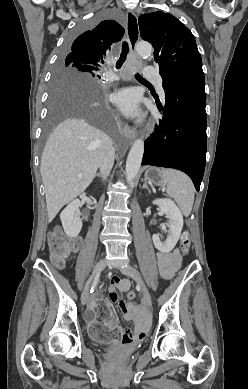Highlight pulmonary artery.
I'll list each match as a JSON object with an SVG mask.
<instances>
[{
    "label": "pulmonary artery",
    "mask_w": 248,
    "mask_h": 389,
    "mask_svg": "<svg viewBox=\"0 0 248 389\" xmlns=\"http://www.w3.org/2000/svg\"><path fill=\"white\" fill-rule=\"evenodd\" d=\"M145 77L148 80L153 81L154 83L157 84L159 93H160L161 97L164 98L165 93H164V89H163V86H162V83H163L162 77L160 75H158V74H153L151 72L150 67H146L145 68ZM105 78L107 80H118L119 79V77L116 74L112 73V72H107L105 74Z\"/></svg>",
    "instance_id": "pulmonary-artery-1"
}]
</instances>
